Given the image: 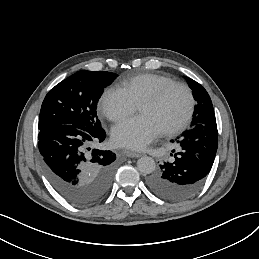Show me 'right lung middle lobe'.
Segmentation results:
<instances>
[{
    "instance_id": "obj_1",
    "label": "right lung middle lobe",
    "mask_w": 259,
    "mask_h": 259,
    "mask_svg": "<svg viewBox=\"0 0 259 259\" xmlns=\"http://www.w3.org/2000/svg\"><path fill=\"white\" fill-rule=\"evenodd\" d=\"M116 77L111 72L81 70L61 81L44 98L38 129L56 125H73L84 131L99 129L97 102Z\"/></svg>"
}]
</instances>
